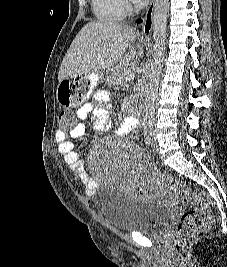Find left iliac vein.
I'll return each instance as SVG.
<instances>
[{
	"instance_id": "1",
	"label": "left iliac vein",
	"mask_w": 227,
	"mask_h": 267,
	"mask_svg": "<svg viewBox=\"0 0 227 267\" xmlns=\"http://www.w3.org/2000/svg\"><path fill=\"white\" fill-rule=\"evenodd\" d=\"M151 141H152L153 152L157 153L158 152V144H157L156 138L154 136H152Z\"/></svg>"
}]
</instances>
